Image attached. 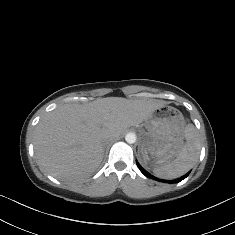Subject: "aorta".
I'll return each mask as SVG.
<instances>
[{"mask_svg":"<svg viewBox=\"0 0 235 235\" xmlns=\"http://www.w3.org/2000/svg\"><path fill=\"white\" fill-rule=\"evenodd\" d=\"M125 140L128 144H134L136 142V135L134 133H129L126 135Z\"/></svg>","mask_w":235,"mask_h":235,"instance_id":"obj_1","label":"aorta"}]
</instances>
